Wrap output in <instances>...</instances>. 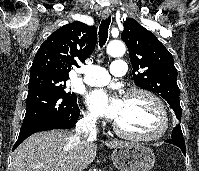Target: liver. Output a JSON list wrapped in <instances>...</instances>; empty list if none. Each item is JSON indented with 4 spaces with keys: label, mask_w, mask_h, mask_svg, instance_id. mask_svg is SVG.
<instances>
[{
    "label": "liver",
    "mask_w": 199,
    "mask_h": 171,
    "mask_svg": "<svg viewBox=\"0 0 199 171\" xmlns=\"http://www.w3.org/2000/svg\"><path fill=\"white\" fill-rule=\"evenodd\" d=\"M122 141L104 142L108 148L122 145ZM93 140L83 142L73 130H52L28 137L12 155V171H76L96 157Z\"/></svg>",
    "instance_id": "1"
}]
</instances>
